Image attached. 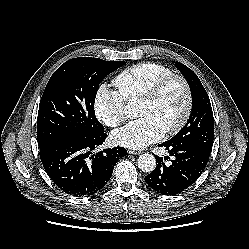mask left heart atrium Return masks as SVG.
Instances as JSON below:
<instances>
[{"instance_id":"39dd6f15","label":"left heart atrium","mask_w":249,"mask_h":249,"mask_svg":"<svg viewBox=\"0 0 249 249\" xmlns=\"http://www.w3.org/2000/svg\"><path fill=\"white\" fill-rule=\"evenodd\" d=\"M164 133V128L154 117L144 116L114 131L111 138L119 146L143 149L161 139Z\"/></svg>"}]
</instances>
